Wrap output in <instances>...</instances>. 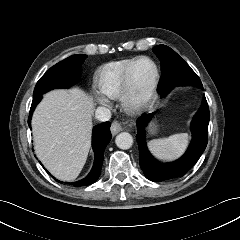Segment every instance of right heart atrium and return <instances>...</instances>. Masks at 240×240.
<instances>
[{
    "label": "right heart atrium",
    "mask_w": 240,
    "mask_h": 240,
    "mask_svg": "<svg viewBox=\"0 0 240 240\" xmlns=\"http://www.w3.org/2000/svg\"><path fill=\"white\" fill-rule=\"evenodd\" d=\"M96 101L101 105H107L109 103V100L102 94L96 93Z\"/></svg>",
    "instance_id": "obj_1"
}]
</instances>
